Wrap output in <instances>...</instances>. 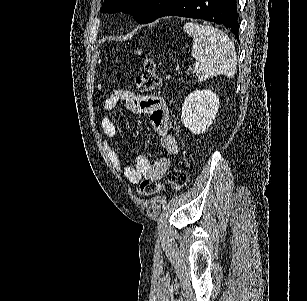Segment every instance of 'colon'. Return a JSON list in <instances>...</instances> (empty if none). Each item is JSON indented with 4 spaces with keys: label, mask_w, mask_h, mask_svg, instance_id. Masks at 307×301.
Wrapping results in <instances>:
<instances>
[{
    "label": "colon",
    "mask_w": 307,
    "mask_h": 301,
    "mask_svg": "<svg viewBox=\"0 0 307 301\" xmlns=\"http://www.w3.org/2000/svg\"><path fill=\"white\" fill-rule=\"evenodd\" d=\"M136 84L141 91H152L157 89L161 84V78L157 74L155 64L152 59H146L144 64V72L136 77ZM167 182L169 186L179 191L187 183V173L182 166L172 168L167 173ZM163 190V186L154 180L145 179L139 187L138 193L142 196H151Z\"/></svg>",
    "instance_id": "5ec220e1"
}]
</instances>
